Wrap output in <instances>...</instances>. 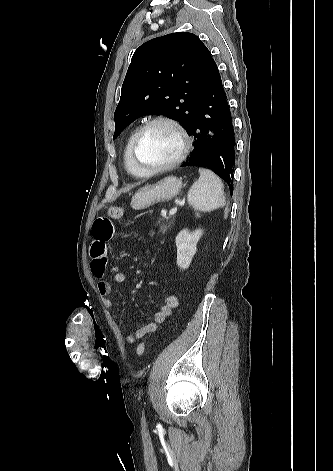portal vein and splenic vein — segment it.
Returning <instances> with one entry per match:
<instances>
[{
	"instance_id": "portal-vein-and-splenic-vein-1",
	"label": "portal vein and splenic vein",
	"mask_w": 333,
	"mask_h": 471,
	"mask_svg": "<svg viewBox=\"0 0 333 471\" xmlns=\"http://www.w3.org/2000/svg\"><path fill=\"white\" fill-rule=\"evenodd\" d=\"M177 212V207H174L170 210L169 215H174Z\"/></svg>"
}]
</instances>
